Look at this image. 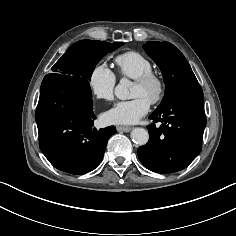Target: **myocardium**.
Wrapping results in <instances>:
<instances>
[{
  "instance_id": "1",
  "label": "myocardium",
  "mask_w": 236,
  "mask_h": 236,
  "mask_svg": "<svg viewBox=\"0 0 236 236\" xmlns=\"http://www.w3.org/2000/svg\"><path fill=\"white\" fill-rule=\"evenodd\" d=\"M135 83L141 86H154L155 91L150 100L151 104H157L163 99L166 90V84L164 78L159 73L155 71L146 72L135 78Z\"/></svg>"
}]
</instances>
